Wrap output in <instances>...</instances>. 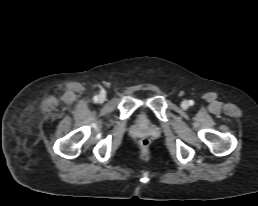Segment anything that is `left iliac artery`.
<instances>
[{
  "label": "left iliac artery",
  "instance_id": "obj_1",
  "mask_svg": "<svg viewBox=\"0 0 258 206\" xmlns=\"http://www.w3.org/2000/svg\"><path fill=\"white\" fill-rule=\"evenodd\" d=\"M189 104H190V105H193V104H194V102H193L192 100H190V101H189Z\"/></svg>",
  "mask_w": 258,
  "mask_h": 206
}]
</instances>
